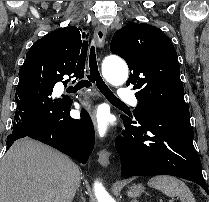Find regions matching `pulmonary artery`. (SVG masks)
<instances>
[{"label": "pulmonary artery", "mask_w": 209, "mask_h": 202, "mask_svg": "<svg viewBox=\"0 0 209 202\" xmlns=\"http://www.w3.org/2000/svg\"><path fill=\"white\" fill-rule=\"evenodd\" d=\"M120 101L127 103L128 105L132 107H136L139 105V100L138 98L130 91L127 89H119L118 90V97Z\"/></svg>", "instance_id": "1"}]
</instances>
